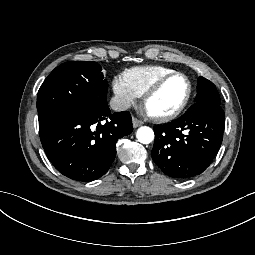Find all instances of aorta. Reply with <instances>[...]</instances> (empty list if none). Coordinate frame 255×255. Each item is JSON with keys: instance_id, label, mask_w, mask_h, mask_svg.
Segmentation results:
<instances>
[{"instance_id": "762f6f07", "label": "aorta", "mask_w": 255, "mask_h": 255, "mask_svg": "<svg viewBox=\"0 0 255 255\" xmlns=\"http://www.w3.org/2000/svg\"><path fill=\"white\" fill-rule=\"evenodd\" d=\"M137 139L142 144H149L154 139V132L150 127L143 126L137 130Z\"/></svg>"}]
</instances>
